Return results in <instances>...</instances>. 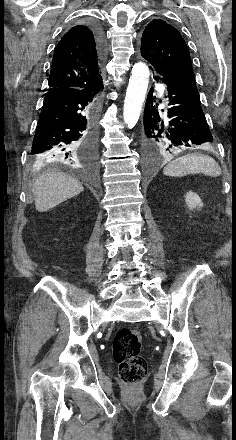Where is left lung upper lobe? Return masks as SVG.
Returning a JSON list of instances; mask_svg holds the SVG:
<instances>
[{
	"label": "left lung upper lobe",
	"mask_w": 236,
	"mask_h": 440,
	"mask_svg": "<svg viewBox=\"0 0 236 440\" xmlns=\"http://www.w3.org/2000/svg\"><path fill=\"white\" fill-rule=\"evenodd\" d=\"M141 55L160 75L194 74L187 45L179 31L163 20H152L144 29Z\"/></svg>",
	"instance_id": "obj_1"
}]
</instances>
